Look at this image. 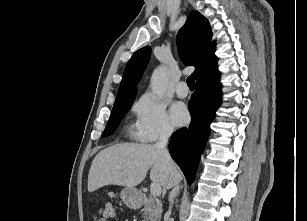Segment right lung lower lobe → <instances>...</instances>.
I'll return each instance as SVG.
<instances>
[{
    "instance_id": "right-lung-lower-lobe-1",
    "label": "right lung lower lobe",
    "mask_w": 307,
    "mask_h": 221,
    "mask_svg": "<svg viewBox=\"0 0 307 221\" xmlns=\"http://www.w3.org/2000/svg\"><path fill=\"white\" fill-rule=\"evenodd\" d=\"M221 104V84L215 81L206 86L196 85L189 101L191 124L171 136L169 149L172 158L180 166L188 184L194 180L200 156L210 135V123Z\"/></svg>"
}]
</instances>
